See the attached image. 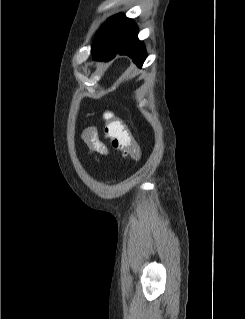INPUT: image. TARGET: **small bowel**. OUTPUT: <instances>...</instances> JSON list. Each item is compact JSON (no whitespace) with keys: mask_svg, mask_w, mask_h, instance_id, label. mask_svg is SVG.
I'll return each mask as SVG.
<instances>
[{"mask_svg":"<svg viewBox=\"0 0 245 319\" xmlns=\"http://www.w3.org/2000/svg\"><path fill=\"white\" fill-rule=\"evenodd\" d=\"M84 139L86 143L88 144L89 148L93 152L99 155H106L108 153V150L105 144L99 138L97 129L95 128L86 129L84 133Z\"/></svg>","mask_w":245,"mask_h":319,"instance_id":"c3829d8e","label":"small bowel"}]
</instances>
